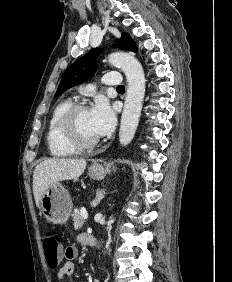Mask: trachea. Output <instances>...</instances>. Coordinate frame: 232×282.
Returning <instances> with one entry per match:
<instances>
[{
  "instance_id": "trachea-1",
  "label": "trachea",
  "mask_w": 232,
  "mask_h": 282,
  "mask_svg": "<svg viewBox=\"0 0 232 282\" xmlns=\"http://www.w3.org/2000/svg\"><path fill=\"white\" fill-rule=\"evenodd\" d=\"M117 89H125V87L123 86V85H119L118 87H117Z\"/></svg>"
}]
</instances>
